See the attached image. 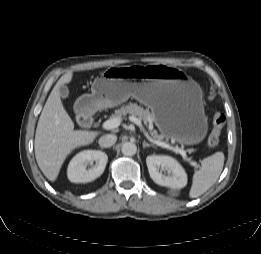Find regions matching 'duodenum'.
Masks as SVG:
<instances>
[{"label": "duodenum", "mask_w": 261, "mask_h": 254, "mask_svg": "<svg viewBox=\"0 0 261 254\" xmlns=\"http://www.w3.org/2000/svg\"><path fill=\"white\" fill-rule=\"evenodd\" d=\"M93 119H94V115L91 114V115H89V116L83 117V118L81 119V123H82L83 125H85V126H88V125L93 121Z\"/></svg>", "instance_id": "410a0bca"}]
</instances>
